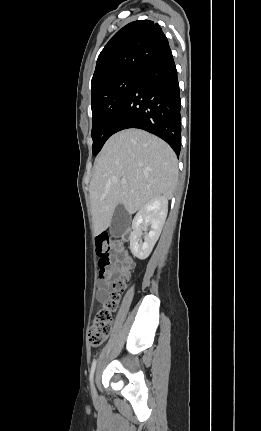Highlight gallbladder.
<instances>
[{"mask_svg":"<svg viewBox=\"0 0 261 431\" xmlns=\"http://www.w3.org/2000/svg\"><path fill=\"white\" fill-rule=\"evenodd\" d=\"M130 224V215L123 205H118L113 213L110 223V234L118 237L123 235Z\"/></svg>","mask_w":261,"mask_h":431,"instance_id":"1","label":"gallbladder"}]
</instances>
